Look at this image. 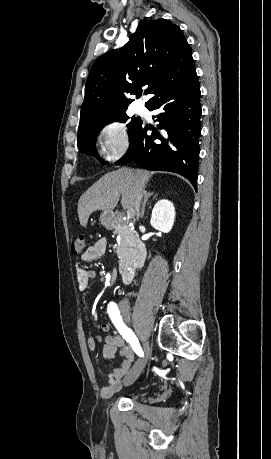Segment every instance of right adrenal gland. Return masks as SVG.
<instances>
[{"label": "right adrenal gland", "mask_w": 271, "mask_h": 459, "mask_svg": "<svg viewBox=\"0 0 271 459\" xmlns=\"http://www.w3.org/2000/svg\"><path fill=\"white\" fill-rule=\"evenodd\" d=\"M144 198H143V204H142V212L140 214V218H144V214H145V206L149 200V198H151V196H154L153 192H145V194H143Z\"/></svg>", "instance_id": "1"}]
</instances>
